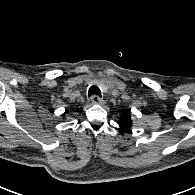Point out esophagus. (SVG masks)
Listing matches in <instances>:
<instances>
[{
	"label": "esophagus",
	"instance_id": "obj_1",
	"mask_svg": "<svg viewBox=\"0 0 195 195\" xmlns=\"http://www.w3.org/2000/svg\"><path fill=\"white\" fill-rule=\"evenodd\" d=\"M91 102H92V104H102V103H103V99L100 98V97L97 96V95H93V96L91 97Z\"/></svg>",
	"mask_w": 195,
	"mask_h": 195
}]
</instances>
